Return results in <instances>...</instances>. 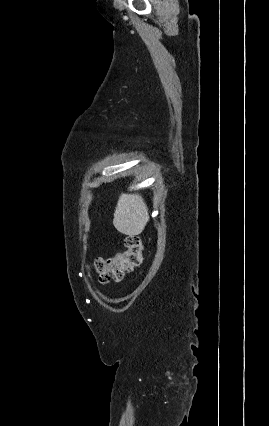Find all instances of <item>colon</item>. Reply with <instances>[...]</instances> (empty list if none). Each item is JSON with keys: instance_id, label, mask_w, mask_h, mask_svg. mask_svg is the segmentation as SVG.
Wrapping results in <instances>:
<instances>
[{"instance_id": "5ec220e1", "label": "colon", "mask_w": 269, "mask_h": 426, "mask_svg": "<svg viewBox=\"0 0 269 426\" xmlns=\"http://www.w3.org/2000/svg\"><path fill=\"white\" fill-rule=\"evenodd\" d=\"M143 250L144 245L140 237L128 235L124 240V249L121 252L96 258L90 269L97 275L101 283L121 281L126 273L140 264Z\"/></svg>"}]
</instances>
